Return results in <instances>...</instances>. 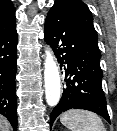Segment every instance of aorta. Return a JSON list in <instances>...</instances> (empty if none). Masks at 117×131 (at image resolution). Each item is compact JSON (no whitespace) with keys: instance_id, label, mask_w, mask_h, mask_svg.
I'll return each mask as SVG.
<instances>
[{"instance_id":"1","label":"aorta","mask_w":117,"mask_h":131,"mask_svg":"<svg viewBox=\"0 0 117 131\" xmlns=\"http://www.w3.org/2000/svg\"><path fill=\"white\" fill-rule=\"evenodd\" d=\"M44 61L45 97L49 106L54 107L61 97L60 74L52 52L47 47Z\"/></svg>"}]
</instances>
